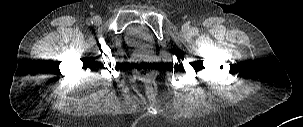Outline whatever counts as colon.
<instances>
[{"label":"colon","mask_w":303,"mask_h":127,"mask_svg":"<svg viewBox=\"0 0 303 127\" xmlns=\"http://www.w3.org/2000/svg\"><path fill=\"white\" fill-rule=\"evenodd\" d=\"M139 69L145 78H149L152 74L151 66L149 64L142 63L140 64Z\"/></svg>","instance_id":"obj_1"}]
</instances>
